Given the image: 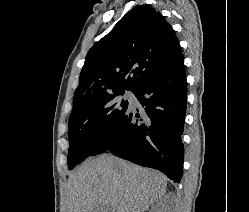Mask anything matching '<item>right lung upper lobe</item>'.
Masks as SVG:
<instances>
[{
  "mask_svg": "<svg viewBox=\"0 0 249 212\" xmlns=\"http://www.w3.org/2000/svg\"><path fill=\"white\" fill-rule=\"evenodd\" d=\"M182 56L171 25L160 12L138 5L88 52L73 108L100 97L135 91ZM127 74H132V77Z\"/></svg>",
  "mask_w": 249,
  "mask_h": 212,
  "instance_id": "cb5924a9",
  "label": "right lung upper lobe"
}]
</instances>
